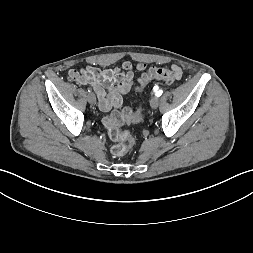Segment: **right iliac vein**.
I'll list each match as a JSON object with an SVG mask.
<instances>
[{
  "label": "right iliac vein",
  "mask_w": 253,
  "mask_h": 253,
  "mask_svg": "<svg viewBox=\"0 0 253 253\" xmlns=\"http://www.w3.org/2000/svg\"><path fill=\"white\" fill-rule=\"evenodd\" d=\"M87 100H88V102L90 103V104H94L95 102H96V96H95V94L94 93H89L88 95H87Z\"/></svg>",
  "instance_id": "1"
}]
</instances>
